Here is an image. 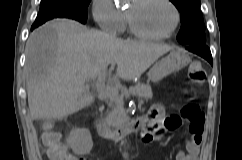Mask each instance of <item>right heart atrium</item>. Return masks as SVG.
Segmentation results:
<instances>
[{"instance_id": "1", "label": "right heart atrium", "mask_w": 242, "mask_h": 160, "mask_svg": "<svg viewBox=\"0 0 242 160\" xmlns=\"http://www.w3.org/2000/svg\"><path fill=\"white\" fill-rule=\"evenodd\" d=\"M92 16L100 29L110 35L124 28L125 16L112 0H92Z\"/></svg>"}]
</instances>
